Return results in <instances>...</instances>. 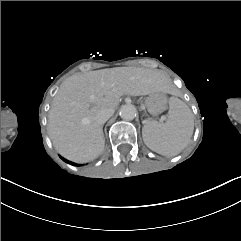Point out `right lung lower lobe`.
I'll return each mask as SVG.
<instances>
[{
    "label": "right lung lower lobe",
    "mask_w": 241,
    "mask_h": 241,
    "mask_svg": "<svg viewBox=\"0 0 241 241\" xmlns=\"http://www.w3.org/2000/svg\"><path fill=\"white\" fill-rule=\"evenodd\" d=\"M65 162H67V163H70V164H73V165H76L75 163H72V162H70V161H68V160H66V159H64V158H62Z\"/></svg>",
    "instance_id": "98d812e1"
}]
</instances>
